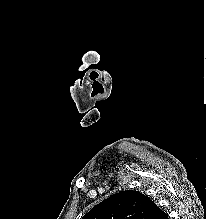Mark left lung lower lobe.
Returning <instances> with one entry per match:
<instances>
[{"label": "left lung lower lobe", "mask_w": 206, "mask_h": 219, "mask_svg": "<svg viewBox=\"0 0 206 219\" xmlns=\"http://www.w3.org/2000/svg\"><path fill=\"white\" fill-rule=\"evenodd\" d=\"M150 219H168L167 214L162 211L156 204L153 207V214Z\"/></svg>", "instance_id": "0a47b994"}]
</instances>
